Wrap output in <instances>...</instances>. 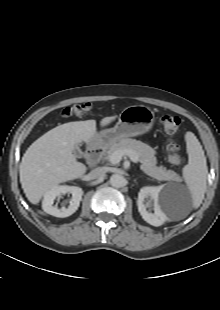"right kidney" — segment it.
<instances>
[{"label": "right kidney", "mask_w": 220, "mask_h": 310, "mask_svg": "<svg viewBox=\"0 0 220 310\" xmlns=\"http://www.w3.org/2000/svg\"><path fill=\"white\" fill-rule=\"evenodd\" d=\"M72 194V198L70 200V205L68 208L62 207L58 209L56 206H53L54 200L57 197L65 194ZM83 191L80 187L76 186H67V185H57L52 187L49 191H47L44 195L42 201L43 210L55 217H68L72 215L79 207L80 201L82 199Z\"/></svg>", "instance_id": "obj_1"}]
</instances>
